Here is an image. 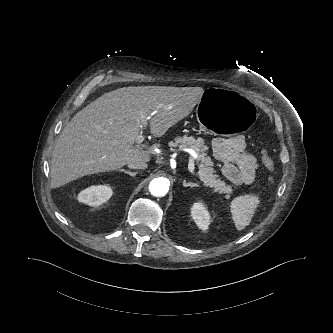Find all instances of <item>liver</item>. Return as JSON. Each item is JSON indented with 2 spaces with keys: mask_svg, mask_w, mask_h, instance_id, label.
<instances>
[{
  "mask_svg": "<svg viewBox=\"0 0 333 333\" xmlns=\"http://www.w3.org/2000/svg\"><path fill=\"white\" fill-rule=\"evenodd\" d=\"M203 94L201 87L171 86H130L103 94L61 132L52 154V186L115 171L131 160L149 162L147 145H134L142 129L140 116H150L151 133L161 137L192 112Z\"/></svg>",
  "mask_w": 333,
  "mask_h": 333,
  "instance_id": "obj_1",
  "label": "liver"
}]
</instances>
